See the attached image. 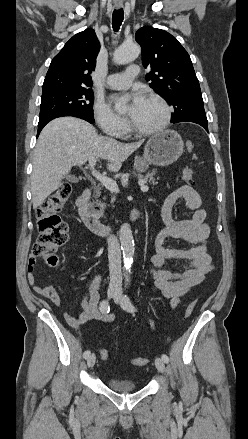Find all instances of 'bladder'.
I'll use <instances>...</instances> for the list:
<instances>
[{
  "label": "bladder",
  "instance_id": "obj_1",
  "mask_svg": "<svg viewBox=\"0 0 248 439\" xmlns=\"http://www.w3.org/2000/svg\"><path fill=\"white\" fill-rule=\"evenodd\" d=\"M108 387L115 392H133L137 389L136 384L132 380L110 377L107 380Z\"/></svg>",
  "mask_w": 248,
  "mask_h": 439
}]
</instances>
